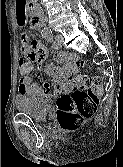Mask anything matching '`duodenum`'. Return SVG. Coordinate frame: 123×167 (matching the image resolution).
Returning a JSON list of instances; mask_svg holds the SVG:
<instances>
[{
	"label": "duodenum",
	"instance_id": "1",
	"mask_svg": "<svg viewBox=\"0 0 123 167\" xmlns=\"http://www.w3.org/2000/svg\"><path fill=\"white\" fill-rule=\"evenodd\" d=\"M30 9L32 10L34 19L37 21L36 28L41 29L42 28V22H43V16L37 10L36 5L32 2V0H30Z\"/></svg>",
	"mask_w": 123,
	"mask_h": 167
}]
</instances>
